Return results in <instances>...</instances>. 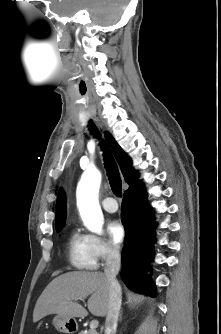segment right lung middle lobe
<instances>
[{
	"instance_id": "1",
	"label": "right lung middle lobe",
	"mask_w": 221,
	"mask_h": 334,
	"mask_svg": "<svg viewBox=\"0 0 221 334\" xmlns=\"http://www.w3.org/2000/svg\"><path fill=\"white\" fill-rule=\"evenodd\" d=\"M62 228H56V231L59 232Z\"/></svg>"
}]
</instances>
